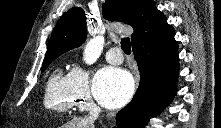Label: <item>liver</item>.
<instances>
[{
    "label": "liver",
    "mask_w": 221,
    "mask_h": 128,
    "mask_svg": "<svg viewBox=\"0 0 221 128\" xmlns=\"http://www.w3.org/2000/svg\"><path fill=\"white\" fill-rule=\"evenodd\" d=\"M62 128H94V124L88 118L74 117L63 125Z\"/></svg>",
    "instance_id": "obj_1"
}]
</instances>
